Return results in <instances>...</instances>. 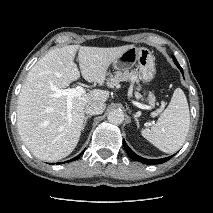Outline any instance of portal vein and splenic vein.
I'll return each instance as SVG.
<instances>
[{"instance_id": "portal-vein-and-splenic-vein-1", "label": "portal vein and splenic vein", "mask_w": 213, "mask_h": 213, "mask_svg": "<svg viewBox=\"0 0 213 213\" xmlns=\"http://www.w3.org/2000/svg\"><path fill=\"white\" fill-rule=\"evenodd\" d=\"M52 90L56 91V97L66 96L68 109L71 108L72 99L74 97L82 96L85 93V89L82 86H77L76 88H68V89H58L56 87H52Z\"/></svg>"}]
</instances>
